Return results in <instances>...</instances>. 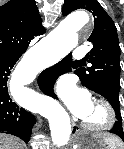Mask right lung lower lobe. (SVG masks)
<instances>
[{
	"label": "right lung lower lobe",
	"mask_w": 124,
	"mask_h": 149,
	"mask_svg": "<svg viewBox=\"0 0 124 149\" xmlns=\"http://www.w3.org/2000/svg\"><path fill=\"white\" fill-rule=\"evenodd\" d=\"M22 54L0 56V133L12 134L28 143L35 117L12 101L7 88L11 69Z\"/></svg>",
	"instance_id": "98d812e1"
}]
</instances>
